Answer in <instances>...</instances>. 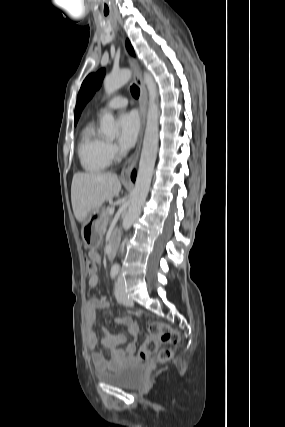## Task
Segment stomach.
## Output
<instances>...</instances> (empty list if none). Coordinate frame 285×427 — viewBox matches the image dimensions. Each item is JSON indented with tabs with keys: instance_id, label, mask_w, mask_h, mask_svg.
I'll use <instances>...</instances> for the list:
<instances>
[{
	"instance_id": "obj_1",
	"label": "stomach",
	"mask_w": 285,
	"mask_h": 427,
	"mask_svg": "<svg viewBox=\"0 0 285 427\" xmlns=\"http://www.w3.org/2000/svg\"><path fill=\"white\" fill-rule=\"evenodd\" d=\"M103 208L93 210L86 218L81 234L88 247L95 248L101 242L100 219Z\"/></svg>"
}]
</instances>
